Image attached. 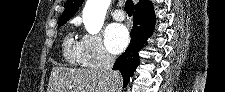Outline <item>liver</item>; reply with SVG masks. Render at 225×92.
I'll use <instances>...</instances> for the list:
<instances>
[{
  "label": "liver",
  "instance_id": "6515ba94",
  "mask_svg": "<svg viewBox=\"0 0 225 92\" xmlns=\"http://www.w3.org/2000/svg\"><path fill=\"white\" fill-rule=\"evenodd\" d=\"M121 77L100 69H73L54 67L47 92H116L121 88Z\"/></svg>",
  "mask_w": 225,
  "mask_h": 92
}]
</instances>
